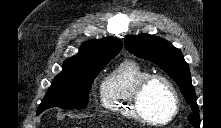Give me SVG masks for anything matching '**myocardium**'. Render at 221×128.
Wrapping results in <instances>:
<instances>
[{
	"instance_id": "myocardium-1",
	"label": "myocardium",
	"mask_w": 221,
	"mask_h": 128,
	"mask_svg": "<svg viewBox=\"0 0 221 128\" xmlns=\"http://www.w3.org/2000/svg\"><path fill=\"white\" fill-rule=\"evenodd\" d=\"M161 81L164 83V85L167 87V90L170 95L171 99V104H172V111L171 114L163 121L157 122L151 119L146 112L143 110L142 105H141V98L144 90L147 88V86L153 82V81ZM131 102H132V108L135 112V114L138 116L139 119L153 124V125H167L170 122H172L179 110V99L177 95V91L173 85V83L164 75L158 74V73H150L143 77L135 86V89L133 91L132 97H131Z\"/></svg>"
}]
</instances>
